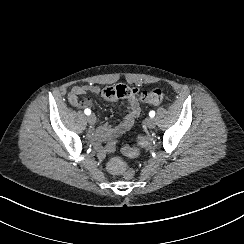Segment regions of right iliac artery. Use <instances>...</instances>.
Here are the masks:
<instances>
[{
    "mask_svg": "<svg viewBox=\"0 0 244 244\" xmlns=\"http://www.w3.org/2000/svg\"><path fill=\"white\" fill-rule=\"evenodd\" d=\"M84 113H85L86 115H90V114H91V110H90V109H85V110H84Z\"/></svg>",
    "mask_w": 244,
    "mask_h": 244,
    "instance_id": "obj_1",
    "label": "right iliac artery"
}]
</instances>
